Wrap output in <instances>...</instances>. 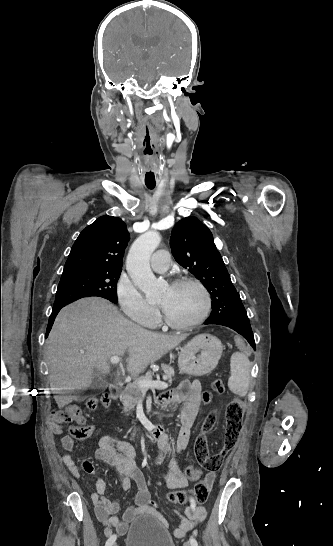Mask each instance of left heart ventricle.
Returning <instances> with one entry per match:
<instances>
[{
  "instance_id": "b2bd125f",
  "label": "left heart ventricle",
  "mask_w": 333,
  "mask_h": 546,
  "mask_svg": "<svg viewBox=\"0 0 333 546\" xmlns=\"http://www.w3.org/2000/svg\"><path fill=\"white\" fill-rule=\"evenodd\" d=\"M203 296L193 285L176 288L167 287L162 293L158 305L174 321L187 323L198 317L203 307Z\"/></svg>"
}]
</instances>
